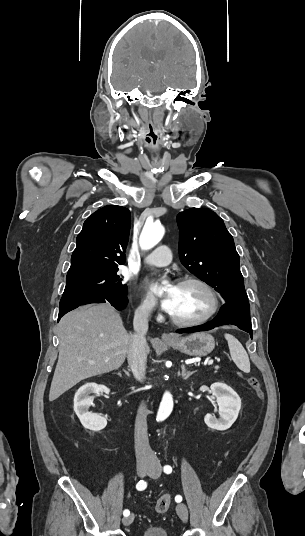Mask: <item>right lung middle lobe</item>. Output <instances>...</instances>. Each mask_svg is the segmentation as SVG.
<instances>
[{
    "label": "right lung middle lobe",
    "instance_id": "right-lung-middle-lobe-1",
    "mask_svg": "<svg viewBox=\"0 0 305 536\" xmlns=\"http://www.w3.org/2000/svg\"><path fill=\"white\" fill-rule=\"evenodd\" d=\"M118 269L67 278L63 296L88 294L101 297H126L128 288L117 274Z\"/></svg>",
    "mask_w": 305,
    "mask_h": 536
}]
</instances>
